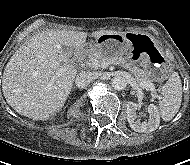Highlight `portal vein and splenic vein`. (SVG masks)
<instances>
[{
	"label": "portal vein and splenic vein",
	"instance_id": "1",
	"mask_svg": "<svg viewBox=\"0 0 190 165\" xmlns=\"http://www.w3.org/2000/svg\"><path fill=\"white\" fill-rule=\"evenodd\" d=\"M109 64H110L109 62H104V63L102 64V67H103V68H107V67L109 66ZM70 66H72V65H64V66L60 67V68L58 69V71H57V75H58V76L62 75L65 71H67V70L69 69ZM141 87H149V89H150L152 92H155V91H156L155 88H154V86H153L152 84H142ZM156 97L160 98L159 96H156Z\"/></svg>",
	"mask_w": 190,
	"mask_h": 165
}]
</instances>
